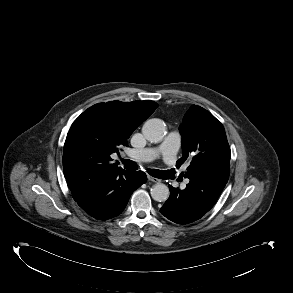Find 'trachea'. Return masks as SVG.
Returning <instances> with one entry per match:
<instances>
[{
    "instance_id": "1",
    "label": "trachea",
    "mask_w": 293,
    "mask_h": 293,
    "mask_svg": "<svg viewBox=\"0 0 293 293\" xmlns=\"http://www.w3.org/2000/svg\"><path fill=\"white\" fill-rule=\"evenodd\" d=\"M122 162L124 163V168L127 170L135 171L137 169L135 162H133L132 160H122ZM148 173L151 176L160 178V179H162L166 174L165 171L156 170V169H148Z\"/></svg>"
}]
</instances>
